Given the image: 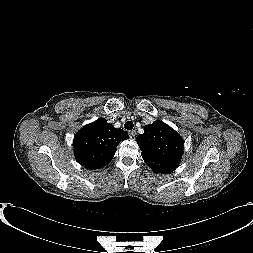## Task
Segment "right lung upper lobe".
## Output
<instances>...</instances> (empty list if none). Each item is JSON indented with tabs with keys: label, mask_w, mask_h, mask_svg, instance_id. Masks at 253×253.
Returning a JSON list of instances; mask_svg holds the SVG:
<instances>
[{
	"label": "right lung upper lobe",
	"mask_w": 253,
	"mask_h": 253,
	"mask_svg": "<svg viewBox=\"0 0 253 253\" xmlns=\"http://www.w3.org/2000/svg\"><path fill=\"white\" fill-rule=\"evenodd\" d=\"M128 138L124 130L99 118L76 133L73 140L76 160L87 169H99L111 162L117 145Z\"/></svg>",
	"instance_id": "obj_1"
}]
</instances>
